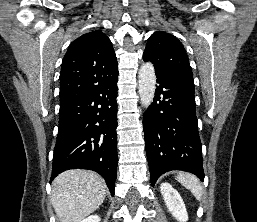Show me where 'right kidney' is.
<instances>
[{
	"label": "right kidney",
	"mask_w": 257,
	"mask_h": 222,
	"mask_svg": "<svg viewBox=\"0 0 257 222\" xmlns=\"http://www.w3.org/2000/svg\"><path fill=\"white\" fill-rule=\"evenodd\" d=\"M100 217L98 215H91L85 219H83L81 222H100Z\"/></svg>",
	"instance_id": "ca27d5eb"
}]
</instances>
